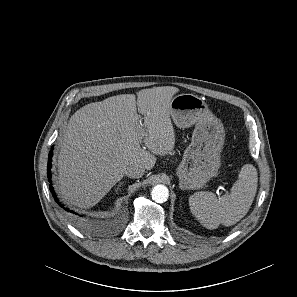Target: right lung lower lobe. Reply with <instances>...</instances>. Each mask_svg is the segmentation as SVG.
Segmentation results:
<instances>
[{
  "label": "right lung lower lobe",
  "mask_w": 297,
  "mask_h": 297,
  "mask_svg": "<svg viewBox=\"0 0 297 297\" xmlns=\"http://www.w3.org/2000/svg\"><path fill=\"white\" fill-rule=\"evenodd\" d=\"M51 149H53V148H51ZM52 156H53V152L52 151H50L49 152V157H48V169H47V174H48V178H49V181L51 182V180H50V178H51V166H52V164H51V162H52ZM50 190H51V192H52V194H53V196H54V199H55V201L61 206V207H63L61 204H60V202L58 201V199H57V197H56V194H55V192H54V189H53V187L50 185ZM64 208V210H66V211H68V212H70V213H74V214H76L74 211H72V210H69V209H67V208H65V207H63Z\"/></svg>",
  "instance_id": "1"
}]
</instances>
